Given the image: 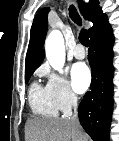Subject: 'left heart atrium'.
I'll return each instance as SVG.
<instances>
[{
	"label": "left heart atrium",
	"mask_w": 119,
	"mask_h": 141,
	"mask_svg": "<svg viewBox=\"0 0 119 141\" xmlns=\"http://www.w3.org/2000/svg\"><path fill=\"white\" fill-rule=\"evenodd\" d=\"M71 79L75 91L83 93L92 80L90 69L84 63H76L71 70Z\"/></svg>",
	"instance_id": "left-heart-atrium-1"
}]
</instances>
